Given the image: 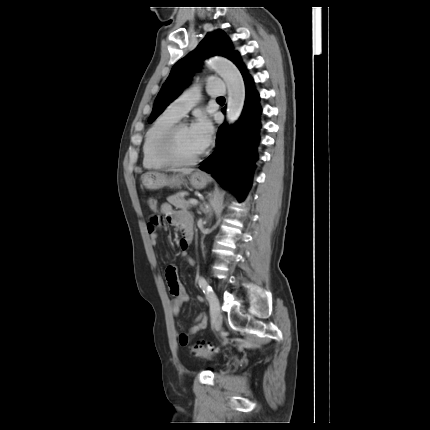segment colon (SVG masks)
I'll return each instance as SVG.
<instances>
[{"instance_id": "5ec220e1", "label": "colon", "mask_w": 430, "mask_h": 430, "mask_svg": "<svg viewBox=\"0 0 430 430\" xmlns=\"http://www.w3.org/2000/svg\"><path fill=\"white\" fill-rule=\"evenodd\" d=\"M148 206L153 212H157V202L153 198L148 199ZM158 218V217H155ZM218 353V349L213 346H206L202 342H197L191 347V354L198 358H211Z\"/></svg>"}]
</instances>
